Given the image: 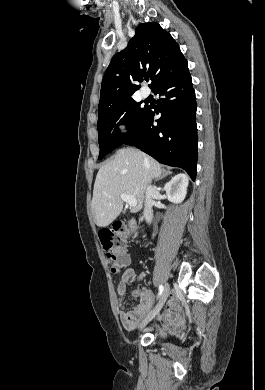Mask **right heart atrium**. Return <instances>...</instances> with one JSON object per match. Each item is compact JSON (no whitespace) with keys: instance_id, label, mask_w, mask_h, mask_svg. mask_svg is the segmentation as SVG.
Segmentation results:
<instances>
[{"instance_id":"d8ad5b80","label":"right heart atrium","mask_w":265,"mask_h":390,"mask_svg":"<svg viewBox=\"0 0 265 390\" xmlns=\"http://www.w3.org/2000/svg\"><path fill=\"white\" fill-rule=\"evenodd\" d=\"M115 129L119 134H126L129 130V122L125 116H120L115 124Z\"/></svg>"}]
</instances>
